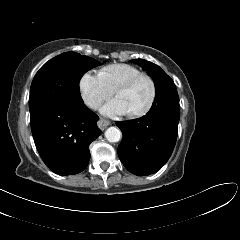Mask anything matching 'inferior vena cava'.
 Instances as JSON below:
<instances>
[{
	"label": "inferior vena cava",
	"instance_id": "602c4592",
	"mask_svg": "<svg viewBox=\"0 0 240 240\" xmlns=\"http://www.w3.org/2000/svg\"><path fill=\"white\" fill-rule=\"evenodd\" d=\"M87 105L92 109H98L101 105V102L97 99H90L87 101Z\"/></svg>",
	"mask_w": 240,
	"mask_h": 240
}]
</instances>
